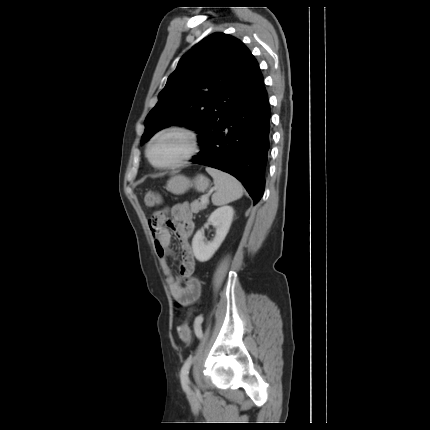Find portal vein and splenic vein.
I'll return each mask as SVG.
<instances>
[{
    "label": "portal vein and splenic vein",
    "instance_id": "portal-vein-and-splenic-vein-1",
    "mask_svg": "<svg viewBox=\"0 0 430 430\" xmlns=\"http://www.w3.org/2000/svg\"><path fill=\"white\" fill-rule=\"evenodd\" d=\"M206 201H208V196H203L201 199V202L205 203Z\"/></svg>",
    "mask_w": 430,
    "mask_h": 430
}]
</instances>
